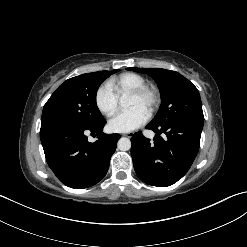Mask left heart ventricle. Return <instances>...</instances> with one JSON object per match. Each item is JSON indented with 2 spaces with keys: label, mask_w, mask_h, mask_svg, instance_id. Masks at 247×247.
<instances>
[{
  "label": "left heart ventricle",
  "mask_w": 247,
  "mask_h": 247,
  "mask_svg": "<svg viewBox=\"0 0 247 247\" xmlns=\"http://www.w3.org/2000/svg\"><path fill=\"white\" fill-rule=\"evenodd\" d=\"M147 100L146 99H139L136 97L129 96L127 98V107L132 108V107H141L145 111H147Z\"/></svg>",
  "instance_id": "obj_1"
}]
</instances>
